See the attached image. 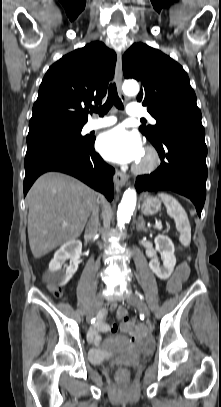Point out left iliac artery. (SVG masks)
Listing matches in <instances>:
<instances>
[{"label":"left iliac artery","instance_id":"obj_1","mask_svg":"<svg viewBox=\"0 0 221 407\" xmlns=\"http://www.w3.org/2000/svg\"><path fill=\"white\" fill-rule=\"evenodd\" d=\"M138 296L140 297V299H143V296H142V295L138 294Z\"/></svg>","mask_w":221,"mask_h":407}]
</instances>
